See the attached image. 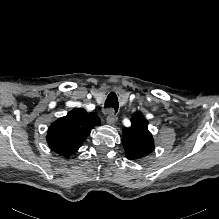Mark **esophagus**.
<instances>
[{
    "mask_svg": "<svg viewBox=\"0 0 219 219\" xmlns=\"http://www.w3.org/2000/svg\"><path fill=\"white\" fill-rule=\"evenodd\" d=\"M117 119H118V118H117V116H116L114 110L110 109V110L108 111V113H107V118H106L107 123H108L109 125H114V124L117 122Z\"/></svg>",
    "mask_w": 219,
    "mask_h": 219,
    "instance_id": "1",
    "label": "esophagus"
}]
</instances>
